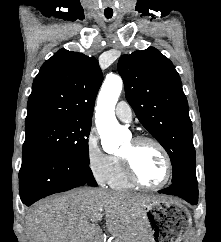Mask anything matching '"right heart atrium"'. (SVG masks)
<instances>
[{"label": "right heart atrium", "mask_w": 221, "mask_h": 242, "mask_svg": "<svg viewBox=\"0 0 221 242\" xmlns=\"http://www.w3.org/2000/svg\"><path fill=\"white\" fill-rule=\"evenodd\" d=\"M85 152L90 173L97 182L105 183L108 180L113 160L111 155L103 151L98 136L93 131L86 138Z\"/></svg>", "instance_id": "obj_1"}]
</instances>
